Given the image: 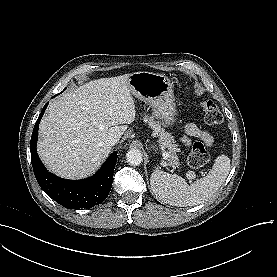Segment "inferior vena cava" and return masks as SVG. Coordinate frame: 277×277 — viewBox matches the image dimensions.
Segmentation results:
<instances>
[{"label":"inferior vena cava","instance_id":"1","mask_svg":"<svg viewBox=\"0 0 277 277\" xmlns=\"http://www.w3.org/2000/svg\"><path fill=\"white\" fill-rule=\"evenodd\" d=\"M118 141H119V138L117 136L110 135L106 138L105 144L107 146L112 147V146L116 145L118 143Z\"/></svg>","mask_w":277,"mask_h":277}]
</instances>
